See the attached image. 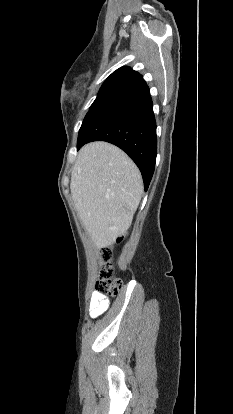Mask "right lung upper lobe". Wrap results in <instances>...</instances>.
<instances>
[{"instance_id":"1","label":"right lung upper lobe","mask_w":233,"mask_h":414,"mask_svg":"<svg viewBox=\"0 0 233 414\" xmlns=\"http://www.w3.org/2000/svg\"><path fill=\"white\" fill-rule=\"evenodd\" d=\"M110 76L120 77L123 79L131 80L133 82L137 81L139 78L142 77L140 74L133 71L129 67H121L117 69L116 71H114V73L111 74Z\"/></svg>"}]
</instances>
